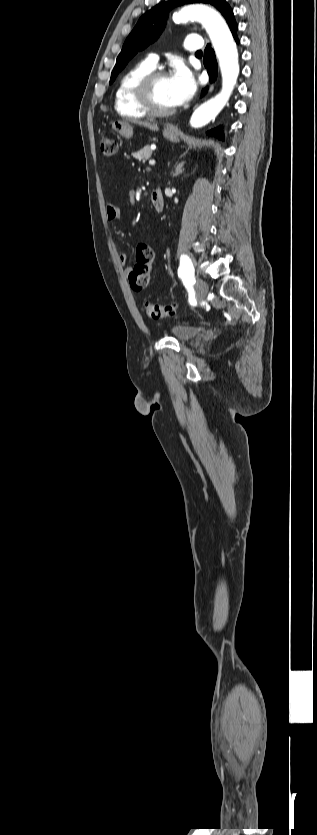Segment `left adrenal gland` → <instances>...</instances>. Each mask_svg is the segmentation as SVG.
Masks as SVG:
<instances>
[{
    "instance_id": "left-adrenal-gland-1",
    "label": "left adrenal gland",
    "mask_w": 317,
    "mask_h": 835,
    "mask_svg": "<svg viewBox=\"0 0 317 835\" xmlns=\"http://www.w3.org/2000/svg\"><path fill=\"white\" fill-rule=\"evenodd\" d=\"M183 166H184V163H183V162H182V163H179V164H176V166H175V173H174V176H177V175L181 174V173L184 171Z\"/></svg>"
}]
</instances>
